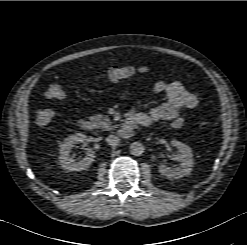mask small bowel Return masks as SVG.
<instances>
[{
  "label": "small bowel",
  "mask_w": 247,
  "mask_h": 245,
  "mask_svg": "<svg viewBox=\"0 0 247 245\" xmlns=\"http://www.w3.org/2000/svg\"><path fill=\"white\" fill-rule=\"evenodd\" d=\"M154 91L164 93L167 100L152 108L148 113L134 112L141 120V125L148 126L158 121H174L184 109L199 107V99L178 80L157 81Z\"/></svg>",
  "instance_id": "1"
}]
</instances>
